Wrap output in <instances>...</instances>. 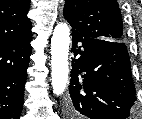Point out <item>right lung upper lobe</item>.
<instances>
[{
  "instance_id": "right-lung-upper-lobe-1",
  "label": "right lung upper lobe",
  "mask_w": 142,
  "mask_h": 119,
  "mask_svg": "<svg viewBox=\"0 0 142 119\" xmlns=\"http://www.w3.org/2000/svg\"><path fill=\"white\" fill-rule=\"evenodd\" d=\"M29 7L30 0H0V46L31 34Z\"/></svg>"
}]
</instances>
